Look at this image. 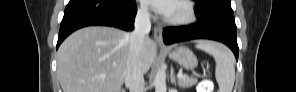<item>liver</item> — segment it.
I'll list each match as a JSON object with an SVG mask.
<instances>
[{
	"label": "liver",
	"mask_w": 296,
	"mask_h": 92,
	"mask_svg": "<svg viewBox=\"0 0 296 92\" xmlns=\"http://www.w3.org/2000/svg\"><path fill=\"white\" fill-rule=\"evenodd\" d=\"M130 34L112 27L82 28L60 45L57 75L63 92H120L126 79ZM157 46L146 37L142 48V71L146 73Z\"/></svg>",
	"instance_id": "6515ba94"
}]
</instances>
